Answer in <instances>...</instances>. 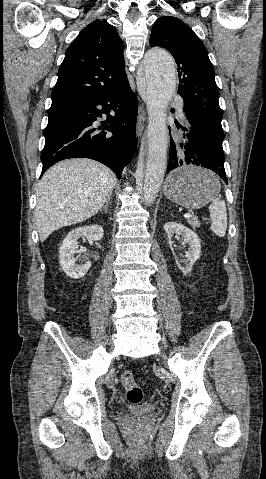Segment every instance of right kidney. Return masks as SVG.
<instances>
[{
    "instance_id": "obj_1",
    "label": "right kidney",
    "mask_w": 266,
    "mask_h": 479,
    "mask_svg": "<svg viewBox=\"0 0 266 479\" xmlns=\"http://www.w3.org/2000/svg\"><path fill=\"white\" fill-rule=\"evenodd\" d=\"M103 235L104 231L101 225L79 227L68 233L59 248L60 265L67 276L80 279L91 267L90 261L81 265L76 264L77 259L74 257V253L78 248L77 240L86 237L91 241H99Z\"/></svg>"
}]
</instances>
